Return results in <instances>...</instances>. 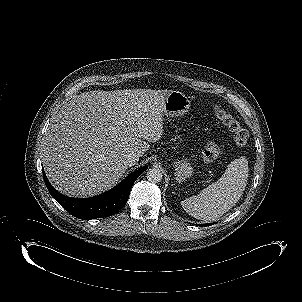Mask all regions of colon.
<instances>
[{
    "mask_svg": "<svg viewBox=\"0 0 302 302\" xmlns=\"http://www.w3.org/2000/svg\"><path fill=\"white\" fill-rule=\"evenodd\" d=\"M215 116L229 129L232 133L233 142L238 147H243L248 141V132L242 125L221 105L217 104L213 108ZM220 154V147L215 142H209L202 152V158L206 162L214 161Z\"/></svg>",
    "mask_w": 302,
    "mask_h": 302,
    "instance_id": "obj_1",
    "label": "colon"
}]
</instances>
